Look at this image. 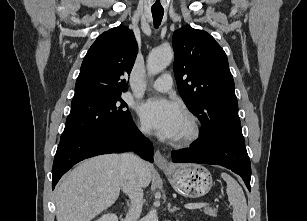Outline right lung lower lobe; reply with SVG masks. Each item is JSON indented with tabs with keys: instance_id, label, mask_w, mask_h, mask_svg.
Listing matches in <instances>:
<instances>
[{
	"instance_id": "1",
	"label": "right lung lower lobe",
	"mask_w": 307,
	"mask_h": 221,
	"mask_svg": "<svg viewBox=\"0 0 307 221\" xmlns=\"http://www.w3.org/2000/svg\"><path fill=\"white\" fill-rule=\"evenodd\" d=\"M131 147L142 158L153 162V146L138 131L132 118L60 141L53 162L52 189L62 175L81 160L100 154L123 152Z\"/></svg>"
}]
</instances>
